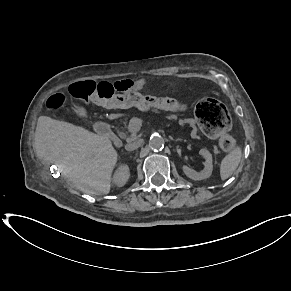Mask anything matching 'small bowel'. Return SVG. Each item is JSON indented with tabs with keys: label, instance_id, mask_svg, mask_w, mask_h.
Here are the masks:
<instances>
[{
	"label": "small bowel",
	"instance_id": "small-bowel-1",
	"mask_svg": "<svg viewBox=\"0 0 291 291\" xmlns=\"http://www.w3.org/2000/svg\"><path fill=\"white\" fill-rule=\"evenodd\" d=\"M130 84H131V91L133 92H136L143 85L141 81L130 82Z\"/></svg>",
	"mask_w": 291,
	"mask_h": 291
}]
</instances>
